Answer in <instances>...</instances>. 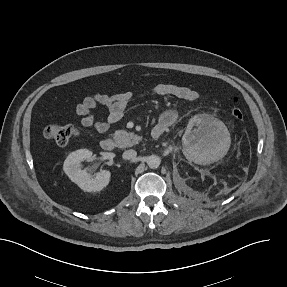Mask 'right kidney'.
Returning a JSON list of instances; mask_svg holds the SVG:
<instances>
[{"instance_id": "obj_1", "label": "right kidney", "mask_w": 287, "mask_h": 287, "mask_svg": "<svg viewBox=\"0 0 287 287\" xmlns=\"http://www.w3.org/2000/svg\"><path fill=\"white\" fill-rule=\"evenodd\" d=\"M92 152L87 149H80L68 155L64 161L63 170L69 179L78 185L82 190L87 192H98L105 188L110 181L111 173L102 170L97 173L95 178L81 169V162L89 160Z\"/></svg>"}]
</instances>
